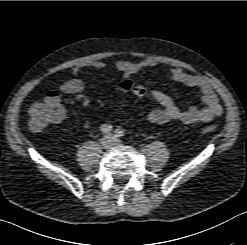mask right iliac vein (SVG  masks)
I'll list each match as a JSON object with an SVG mask.
<instances>
[{
	"instance_id": "63e3f726",
	"label": "right iliac vein",
	"mask_w": 247,
	"mask_h": 245,
	"mask_svg": "<svg viewBox=\"0 0 247 245\" xmlns=\"http://www.w3.org/2000/svg\"><path fill=\"white\" fill-rule=\"evenodd\" d=\"M101 144L104 148H109L114 145V138L111 135H106L101 139Z\"/></svg>"
}]
</instances>
